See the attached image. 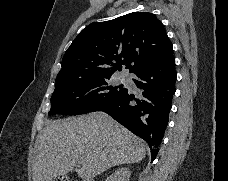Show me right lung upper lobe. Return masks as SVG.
Instances as JSON below:
<instances>
[{
  "label": "right lung upper lobe",
  "instance_id": "obj_1",
  "mask_svg": "<svg viewBox=\"0 0 228 181\" xmlns=\"http://www.w3.org/2000/svg\"><path fill=\"white\" fill-rule=\"evenodd\" d=\"M172 48L163 24L148 12H132L92 23L67 49L56 86L112 75L122 67L134 72Z\"/></svg>",
  "mask_w": 228,
  "mask_h": 181
}]
</instances>
